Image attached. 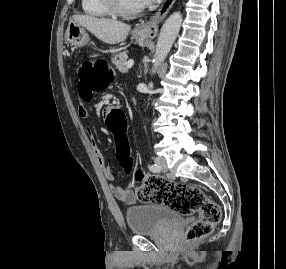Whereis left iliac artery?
<instances>
[{"instance_id": "obj_1", "label": "left iliac artery", "mask_w": 286, "mask_h": 269, "mask_svg": "<svg viewBox=\"0 0 286 269\" xmlns=\"http://www.w3.org/2000/svg\"><path fill=\"white\" fill-rule=\"evenodd\" d=\"M149 170L152 171V172H159L161 167L157 164H150L148 166Z\"/></svg>"}]
</instances>
